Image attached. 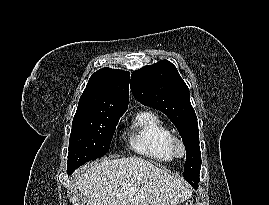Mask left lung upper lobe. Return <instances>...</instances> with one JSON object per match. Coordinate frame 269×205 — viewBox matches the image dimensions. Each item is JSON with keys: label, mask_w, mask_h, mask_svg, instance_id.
<instances>
[{"label": "left lung upper lobe", "mask_w": 269, "mask_h": 205, "mask_svg": "<svg viewBox=\"0 0 269 205\" xmlns=\"http://www.w3.org/2000/svg\"><path fill=\"white\" fill-rule=\"evenodd\" d=\"M133 96L142 104L165 113L177 127L186 149L184 178L198 185L201 169L198 123L189 89L176 67L167 60L144 66L131 75Z\"/></svg>", "instance_id": "5c2ea615"}]
</instances>
